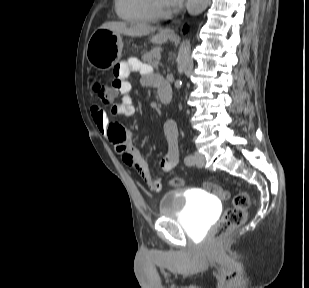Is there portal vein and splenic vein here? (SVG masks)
Here are the masks:
<instances>
[{
    "label": "portal vein and splenic vein",
    "mask_w": 309,
    "mask_h": 288,
    "mask_svg": "<svg viewBox=\"0 0 309 288\" xmlns=\"http://www.w3.org/2000/svg\"><path fill=\"white\" fill-rule=\"evenodd\" d=\"M153 65H154V66L158 65V62L154 63Z\"/></svg>",
    "instance_id": "portal-vein-and-splenic-vein-1"
}]
</instances>
